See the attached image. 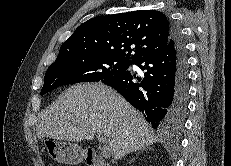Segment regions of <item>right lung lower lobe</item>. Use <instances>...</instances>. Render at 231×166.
<instances>
[{"label":"right lung lower lobe","instance_id":"right-lung-lower-lobe-1","mask_svg":"<svg viewBox=\"0 0 231 166\" xmlns=\"http://www.w3.org/2000/svg\"><path fill=\"white\" fill-rule=\"evenodd\" d=\"M171 26V40L162 50L132 62L145 71L143 78L126 70L102 80L142 111L161 134L182 128L188 102L185 43L178 27L172 22Z\"/></svg>","mask_w":231,"mask_h":166}]
</instances>
